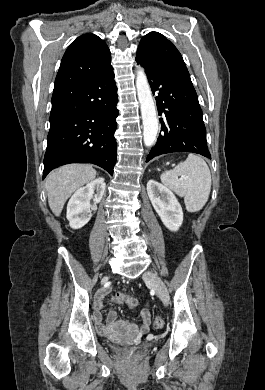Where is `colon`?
I'll use <instances>...</instances> for the list:
<instances>
[{
	"label": "colon",
	"mask_w": 265,
	"mask_h": 390,
	"mask_svg": "<svg viewBox=\"0 0 265 390\" xmlns=\"http://www.w3.org/2000/svg\"><path fill=\"white\" fill-rule=\"evenodd\" d=\"M112 301L116 303H125L129 308L133 309L137 306V300L130 296L127 293H116L112 297ZM163 326V319L161 317H156L154 319V327L159 329Z\"/></svg>",
	"instance_id": "5ec220e1"
}]
</instances>
